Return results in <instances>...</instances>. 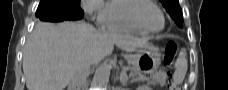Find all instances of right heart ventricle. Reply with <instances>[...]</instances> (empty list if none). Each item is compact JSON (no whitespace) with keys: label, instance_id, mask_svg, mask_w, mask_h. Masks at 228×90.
<instances>
[{"label":"right heart ventricle","instance_id":"right-heart-ventricle-1","mask_svg":"<svg viewBox=\"0 0 228 90\" xmlns=\"http://www.w3.org/2000/svg\"><path fill=\"white\" fill-rule=\"evenodd\" d=\"M139 0H109L105 6L104 27L111 31L145 34L129 18V9Z\"/></svg>","mask_w":228,"mask_h":90}]
</instances>
